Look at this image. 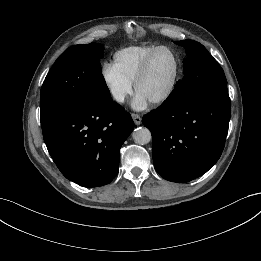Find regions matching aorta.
Here are the masks:
<instances>
[{"label":"aorta","mask_w":261,"mask_h":261,"mask_svg":"<svg viewBox=\"0 0 261 261\" xmlns=\"http://www.w3.org/2000/svg\"><path fill=\"white\" fill-rule=\"evenodd\" d=\"M132 137L137 144L145 145L151 140V132L146 127H138L133 131Z\"/></svg>","instance_id":"1"}]
</instances>
